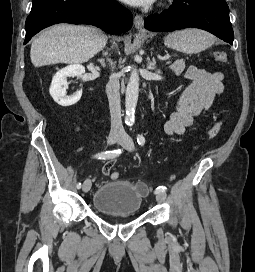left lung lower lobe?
Returning a JSON list of instances; mask_svg holds the SVG:
<instances>
[{"mask_svg":"<svg viewBox=\"0 0 255 272\" xmlns=\"http://www.w3.org/2000/svg\"><path fill=\"white\" fill-rule=\"evenodd\" d=\"M144 26L150 31L164 32L200 28L233 44V29L225 0H174L169 9L147 17Z\"/></svg>","mask_w":255,"mask_h":272,"instance_id":"0a47b994","label":"left lung lower lobe"}]
</instances>
